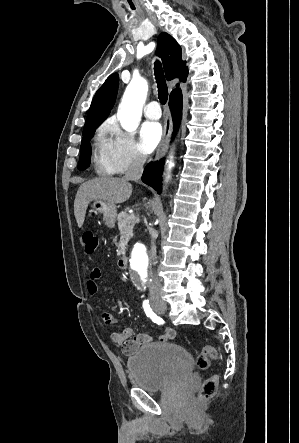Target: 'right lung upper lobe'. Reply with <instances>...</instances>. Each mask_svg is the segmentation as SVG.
Instances as JSON below:
<instances>
[{"label": "right lung upper lobe", "instance_id": "right-lung-upper-lobe-1", "mask_svg": "<svg viewBox=\"0 0 299 443\" xmlns=\"http://www.w3.org/2000/svg\"><path fill=\"white\" fill-rule=\"evenodd\" d=\"M156 52L162 59L167 80L178 77L185 82L188 69L185 66V61H182L181 48L176 40L166 32H162L158 38ZM118 80L117 73L110 75L96 92L88 111L84 130L100 125L107 118L116 99Z\"/></svg>", "mask_w": 299, "mask_h": 443}]
</instances>
